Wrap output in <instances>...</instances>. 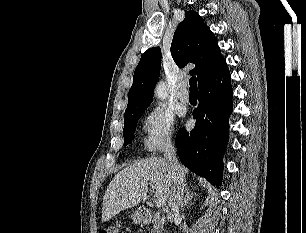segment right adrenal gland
<instances>
[{
  "label": "right adrenal gland",
  "mask_w": 306,
  "mask_h": 233,
  "mask_svg": "<svg viewBox=\"0 0 306 233\" xmlns=\"http://www.w3.org/2000/svg\"><path fill=\"white\" fill-rule=\"evenodd\" d=\"M194 194L189 190V186H187L185 190V195L183 197V200L181 202V208L186 206L188 204V201H190L193 198Z\"/></svg>",
  "instance_id": "1"
}]
</instances>
